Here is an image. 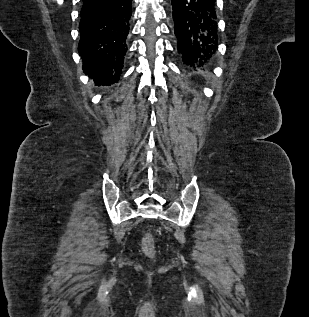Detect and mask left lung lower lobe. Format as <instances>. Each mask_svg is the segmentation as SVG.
<instances>
[{"label": "left lung lower lobe", "instance_id": "obj_1", "mask_svg": "<svg viewBox=\"0 0 309 317\" xmlns=\"http://www.w3.org/2000/svg\"><path fill=\"white\" fill-rule=\"evenodd\" d=\"M172 10L184 64L210 66L218 47L216 0H172Z\"/></svg>", "mask_w": 309, "mask_h": 317}]
</instances>
